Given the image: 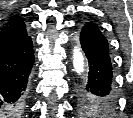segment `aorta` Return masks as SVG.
Instances as JSON below:
<instances>
[{"label":"aorta","mask_w":133,"mask_h":118,"mask_svg":"<svg viewBox=\"0 0 133 118\" xmlns=\"http://www.w3.org/2000/svg\"><path fill=\"white\" fill-rule=\"evenodd\" d=\"M73 67L75 73L79 76L82 77L85 73V61H84V56L79 47H74L73 49Z\"/></svg>","instance_id":"aorta-1"}]
</instances>
